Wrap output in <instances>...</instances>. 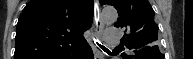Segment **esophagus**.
I'll return each instance as SVG.
<instances>
[{
    "label": "esophagus",
    "mask_w": 193,
    "mask_h": 59,
    "mask_svg": "<svg viewBox=\"0 0 193 59\" xmlns=\"http://www.w3.org/2000/svg\"><path fill=\"white\" fill-rule=\"evenodd\" d=\"M94 22H95V34L99 36L104 28V22L100 18V6L98 0H95L94 2ZM92 39L93 42L91 43V45L94 51V59H100V55L97 53L96 48V42L98 41V39L96 37H92Z\"/></svg>",
    "instance_id": "34e87169"
}]
</instances>
